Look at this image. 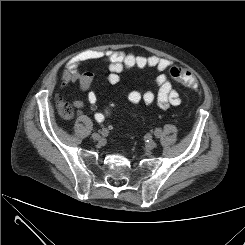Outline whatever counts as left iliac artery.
Returning <instances> with one entry per match:
<instances>
[{
  "label": "left iliac artery",
  "instance_id": "left-iliac-artery-1",
  "mask_svg": "<svg viewBox=\"0 0 245 245\" xmlns=\"http://www.w3.org/2000/svg\"><path fill=\"white\" fill-rule=\"evenodd\" d=\"M160 135H161V130L157 129V130L155 131V136H156L157 138H159Z\"/></svg>",
  "mask_w": 245,
  "mask_h": 245
}]
</instances>
